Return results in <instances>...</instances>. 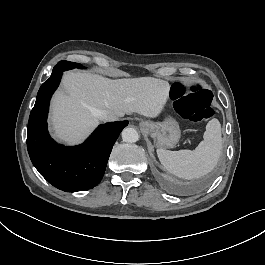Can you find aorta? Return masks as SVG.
<instances>
[{
	"label": "aorta",
	"mask_w": 265,
	"mask_h": 265,
	"mask_svg": "<svg viewBox=\"0 0 265 265\" xmlns=\"http://www.w3.org/2000/svg\"><path fill=\"white\" fill-rule=\"evenodd\" d=\"M122 139L124 142L134 143L139 140V134L134 128H124L122 131Z\"/></svg>",
	"instance_id": "1"
}]
</instances>
